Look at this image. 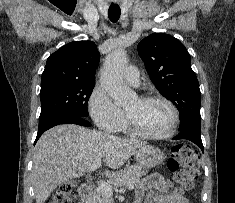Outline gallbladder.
<instances>
[{"mask_svg":"<svg viewBox=\"0 0 235 203\" xmlns=\"http://www.w3.org/2000/svg\"><path fill=\"white\" fill-rule=\"evenodd\" d=\"M66 185L77 186V182L74 179H69L65 181Z\"/></svg>","mask_w":235,"mask_h":203,"instance_id":"obj_1","label":"gallbladder"}]
</instances>
